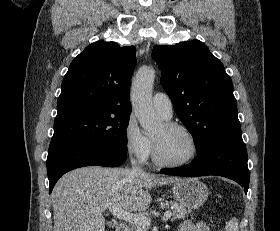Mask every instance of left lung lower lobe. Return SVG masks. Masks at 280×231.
<instances>
[{
    "instance_id": "0a47b994",
    "label": "left lung lower lobe",
    "mask_w": 280,
    "mask_h": 231,
    "mask_svg": "<svg viewBox=\"0 0 280 231\" xmlns=\"http://www.w3.org/2000/svg\"><path fill=\"white\" fill-rule=\"evenodd\" d=\"M163 174L198 177L217 175L232 179L245 188L249 187L247 150L241 134L221 137L199 146L197 157L183 167L162 169Z\"/></svg>"
}]
</instances>
